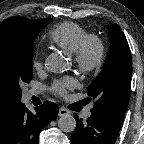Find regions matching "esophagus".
<instances>
[{
    "label": "esophagus",
    "mask_w": 144,
    "mask_h": 144,
    "mask_svg": "<svg viewBox=\"0 0 144 144\" xmlns=\"http://www.w3.org/2000/svg\"><path fill=\"white\" fill-rule=\"evenodd\" d=\"M69 114H70L69 110H67L63 107L59 108V113H58L59 116H66V115H69Z\"/></svg>",
    "instance_id": "obj_1"
}]
</instances>
